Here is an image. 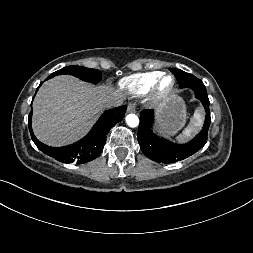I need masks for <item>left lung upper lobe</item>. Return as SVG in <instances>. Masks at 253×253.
Here are the masks:
<instances>
[{"mask_svg":"<svg viewBox=\"0 0 253 253\" xmlns=\"http://www.w3.org/2000/svg\"><path fill=\"white\" fill-rule=\"evenodd\" d=\"M170 71L175 75L178 83H182V82H185V81H188L190 80L192 77H194L192 74H189L187 72H184L182 70H175V69H170Z\"/></svg>","mask_w":253,"mask_h":253,"instance_id":"5c2ea615","label":"left lung upper lobe"}]
</instances>
